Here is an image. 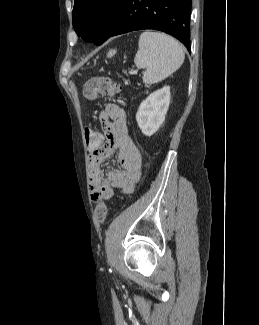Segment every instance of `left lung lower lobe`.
I'll return each mask as SVG.
<instances>
[{
  "mask_svg": "<svg viewBox=\"0 0 259 325\" xmlns=\"http://www.w3.org/2000/svg\"><path fill=\"white\" fill-rule=\"evenodd\" d=\"M191 5L192 0H123L106 40L135 30L156 29L190 49Z\"/></svg>",
  "mask_w": 259,
  "mask_h": 325,
  "instance_id": "obj_1",
  "label": "left lung lower lobe"
}]
</instances>
